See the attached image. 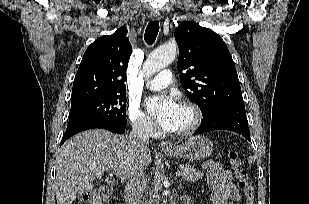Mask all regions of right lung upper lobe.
Wrapping results in <instances>:
<instances>
[{
  "mask_svg": "<svg viewBox=\"0 0 309 204\" xmlns=\"http://www.w3.org/2000/svg\"><path fill=\"white\" fill-rule=\"evenodd\" d=\"M127 29L101 36L86 50L73 82L71 104L90 98L126 92L125 74L132 53Z\"/></svg>",
  "mask_w": 309,
  "mask_h": 204,
  "instance_id": "obj_1",
  "label": "right lung upper lobe"
}]
</instances>
